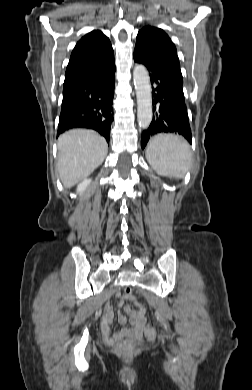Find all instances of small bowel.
<instances>
[{"instance_id": "obj_1", "label": "small bowel", "mask_w": 252, "mask_h": 390, "mask_svg": "<svg viewBox=\"0 0 252 390\" xmlns=\"http://www.w3.org/2000/svg\"><path fill=\"white\" fill-rule=\"evenodd\" d=\"M115 297L119 300V305H122L125 297L115 294ZM125 313L129 316V321L127 317L120 313L118 315V320L122 324L120 331L111 334V337L118 339L124 336H130L132 334L141 335L145 327L146 315L144 307L139 304V309L134 310L129 306L124 307ZM113 317L112 305L110 302H107L104 307V318H103V330L105 333H110V321Z\"/></svg>"}]
</instances>
